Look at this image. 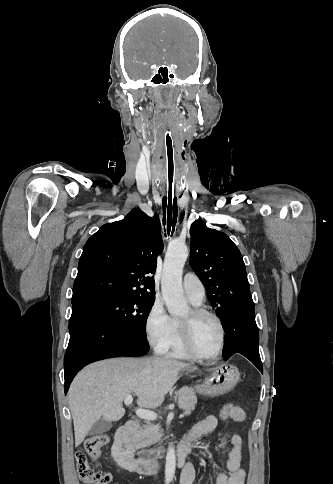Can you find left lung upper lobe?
<instances>
[{"label":"left lung upper lobe","mask_w":333,"mask_h":484,"mask_svg":"<svg viewBox=\"0 0 333 484\" xmlns=\"http://www.w3.org/2000/svg\"><path fill=\"white\" fill-rule=\"evenodd\" d=\"M190 235V264L223 319L230 305L251 294L242 255L225 233L208 228L201 219L191 225Z\"/></svg>","instance_id":"left-lung-upper-lobe-1"}]
</instances>
